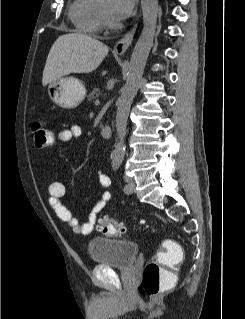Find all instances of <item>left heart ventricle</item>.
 <instances>
[{
  "instance_id": "b2bd125f",
  "label": "left heart ventricle",
  "mask_w": 245,
  "mask_h": 319,
  "mask_svg": "<svg viewBox=\"0 0 245 319\" xmlns=\"http://www.w3.org/2000/svg\"><path fill=\"white\" fill-rule=\"evenodd\" d=\"M102 5L108 9L109 11L112 12V8H113V0H103L102 1Z\"/></svg>"
}]
</instances>
